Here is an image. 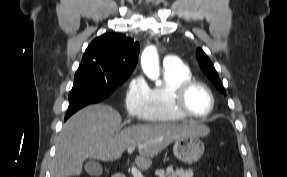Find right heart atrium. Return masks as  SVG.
Here are the masks:
<instances>
[{
	"instance_id": "1",
	"label": "right heart atrium",
	"mask_w": 287,
	"mask_h": 177,
	"mask_svg": "<svg viewBox=\"0 0 287 177\" xmlns=\"http://www.w3.org/2000/svg\"><path fill=\"white\" fill-rule=\"evenodd\" d=\"M149 86L141 76L133 77L124 93V105L129 114L137 120H145L148 114Z\"/></svg>"
}]
</instances>
